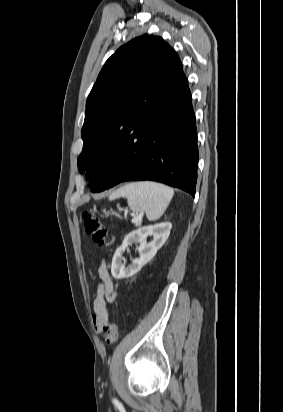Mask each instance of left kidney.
Listing matches in <instances>:
<instances>
[{"label": "left kidney", "instance_id": "obj_1", "mask_svg": "<svg viewBox=\"0 0 283 412\" xmlns=\"http://www.w3.org/2000/svg\"><path fill=\"white\" fill-rule=\"evenodd\" d=\"M172 224L168 222L158 223L141 227L125 236L122 245L117 248L112 259L111 273L115 279L129 278L136 274L141 268L154 258L157 251L167 241ZM153 236V240L147 243V237ZM139 242V258L132 260L128 267L122 263V254L128 245Z\"/></svg>", "mask_w": 283, "mask_h": 412}]
</instances>
